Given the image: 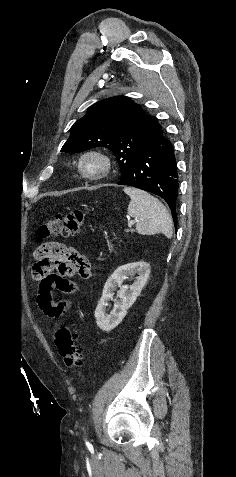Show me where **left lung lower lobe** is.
Masks as SVG:
<instances>
[{
  "mask_svg": "<svg viewBox=\"0 0 236 477\" xmlns=\"http://www.w3.org/2000/svg\"><path fill=\"white\" fill-rule=\"evenodd\" d=\"M118 184L160 196L171 209L174 225L177 226V165L173 146L160 128L149 144L134 157L126 176Z\"/></svg>",
  "mask_w": 236,
  "mask_h": 477,
  "instance_id": "1",
  "label": "left lung lower lobe"
}]
</instances>
